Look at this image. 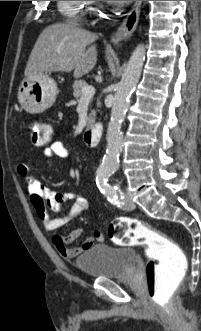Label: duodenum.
<instances>
[{
	"instance_id": "1",
	"label": "duodenum",
	"mask_w": 201,
	"mask_h": 331,
	"mask_svg": "<svg viewBox=\"0 0 201 331\" xmlns=\"http://www.w3.org/2000/svg\"><path fill=\"white\" fill-rule=\"evenodd\" d=\"M102 133V125L100 123H93L84 132V140L89 146L96 147L101 141Z\"/></svg>"
}]
</instances>
